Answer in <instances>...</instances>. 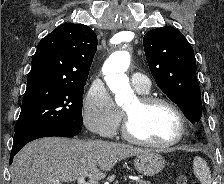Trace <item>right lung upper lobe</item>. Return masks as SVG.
<instances>
[{
    "instance_id": "1",
    "label": "right lung upper lobe",
    "mask_w": 224,
    "mask_h": 184,
    "mask_svg": "<svg viewBox=\"0 0 224 184\" xmlns=\"http://www.w3.org/2000/svg\"><path fill=\"white\" fill-rule=\"evenodd\" d=\"M97 43L96 33L86 25L58 26L39 42L27 84L86 83Z\"/></svg>"
}]
</instances>
